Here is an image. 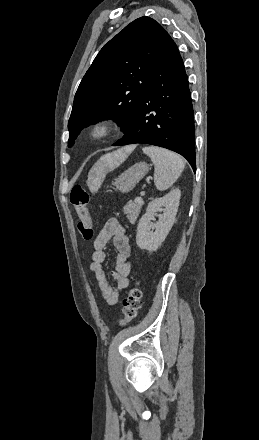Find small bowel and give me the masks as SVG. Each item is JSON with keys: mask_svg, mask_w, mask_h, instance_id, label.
Wrapping results in <instances>:
<instances>
[{"mask_svg": "<svg viewBox=\"0 0 259 440\" xmlns=\"http://www.w3.org/2000/svg\"><path fill=\"white\" fill-rule=\"evenodd\" d=\"M109 242H112L117 253L115 269L110 273L115 280V285L108 281L103 267ZM93 248L89 271L106 303L115 305L119 302L120 293L129 286V276L132 270L129 260L131 254L129 238L116 218L106 221L93 242Z\"/></svg>", "mask_w": 259, "mask_h": 440, "instance_id": "small-bowel-1", "label": "small bowel"}]
</instances>
